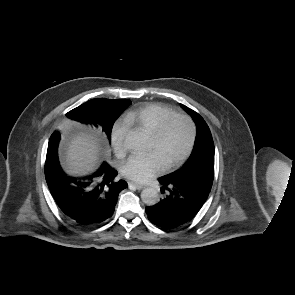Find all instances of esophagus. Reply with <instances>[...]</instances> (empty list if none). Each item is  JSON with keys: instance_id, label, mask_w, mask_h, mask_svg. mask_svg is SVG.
<instances>
[{"instance_id": "34e87169", "label": "esophagus", "mask_w": 295, "mask_h": 295, "mask_svg": "<svg viewBox=\"0 0 295 295\" xmlns=\"http://www.w3.org/2000/svg\"><path fill=\"white\" fill-rule=\"evenodd\" d=\"M129 184H130V185H133V186H134L136 189H138V190H141V189L144 188L143 185L138 184V183H136V182H130Z\"/></svg>"}]
</instances>
